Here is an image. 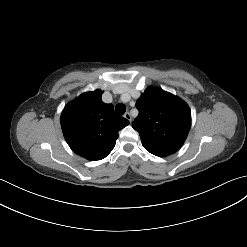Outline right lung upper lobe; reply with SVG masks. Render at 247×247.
Segmentation results:
<instances>
[{
    "mask_svg": "<svg viewBox=\"0 0 247 247\" xmlns=\"http://www.w3.org/2000/svg\"><path fill=\"white\" fill-rule=\"evenodd\" d=\"M103 91L81 94L61 114V127L70 148L87 160H101L114 148L118 132L129 121L101 100Z\"/></svg>",
    "mask_w": 247,
    "mask_h": 247,
    "instance_id": "1",
    "label": "right lung upper lobe"
}]
</instances>
